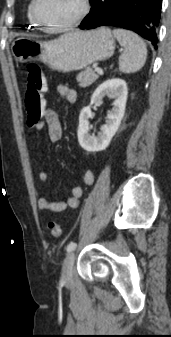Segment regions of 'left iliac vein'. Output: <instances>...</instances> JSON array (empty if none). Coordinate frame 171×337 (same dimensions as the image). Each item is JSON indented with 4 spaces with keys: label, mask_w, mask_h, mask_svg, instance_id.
<instances>
[{
    "label": "left iliac vein",
    "mask_w": 171,
    "mask_h": 337,
    "mask_svg": "<svg viewBox=\"0 0 171 337\" xmlns=\"http://www.w3.org/2000/svg\"><path fill=\"white\" fill-rule=\"evenodd\" d=\"M74 262H75V253L74 252L68 253L66 258L64 259L61 274L62 281L67 285L70 284L72 281V271Z\"/></svg>",
    "instance_id": "left-iliac-vein-1"
}]
</instances>
